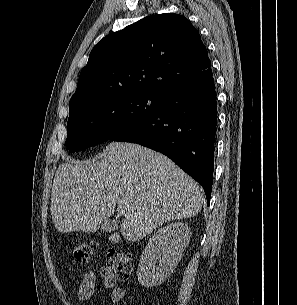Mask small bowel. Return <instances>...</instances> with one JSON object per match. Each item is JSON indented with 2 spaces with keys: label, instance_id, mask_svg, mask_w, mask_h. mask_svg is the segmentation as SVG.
Masks as SVG:
<instances>
[{
  "label": "small bowel",
  "instance_id": "1",
  "mask_svg": "<svg viewBox=\"0 0 297 305\" xmlns=\"http://www.w3.org/2000/svg\"><path fill=\"white\" fill-rule=\"evenodd\" d=\"M103 278L102 291L111 290L110 303L117 304L125 298V291L123 288L115 286V277L108 268L101 270ZM96 293V274L93 271L85 273L78 289V298L84 304L88 302Z\"/></svg>",
  "mask_w": 297,
  "mask_h": 305
}]
</instances>
